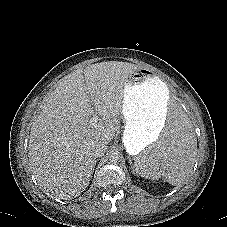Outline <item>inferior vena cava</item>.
<instances>
[{
  "label": "inferior vena cava",
  "mask_w": 227,
  "mask_h": 227,
  "mask_svg": "<svg viewBox=\"0 0 227 227\" xmlns=\"http://www.w3.org/2000/svg\"><path fill=\"white\" fill-rule=\"evenodd\" d=\"M107 149V144L102 142L94 145L93 147V156L95 158L101 157L104 155L105 151Z\"/></svg>",
  "instance_id": "obj_1"
}]
</instances>
